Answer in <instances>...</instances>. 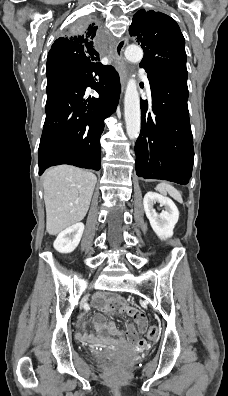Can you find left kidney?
<instances>
[{
  "mask_svg": "<svg viewBox=\"0 0 228 396\" xmlns=\"http://www.w3.org/2000/svg\"><path fill=\"white\" fill-rule=\"evenodd\" d=\"M156 203L165 207V210L160 214L154 209ZM143 205L150 225L157 236L161 239L172 237L173 229L179 219V211L174 202L155 192H147L143 199Z\"/></svg>",
  "mask_w": 228,
  "mask_h": 396,
  "instance_id": "5707ae66",
  "label": "left kidney"
}]
</instances>
